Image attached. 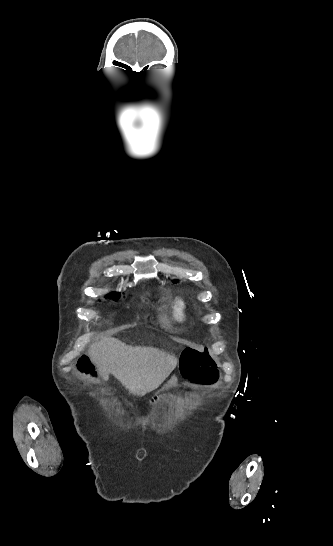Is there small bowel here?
Segmentation results:
<instances>
[{
  "instance_id": "obj_1",
  "label": "small bowel",
  "mask_w": 333,
  "mask_h": 546,
  "mask_svg": "<svg viewBox=\"0 0 333 546\" xmlns=\"http://www.w3.org/2000/svg\"><path fill=\"white\" fill-rule=\"evenodd\" d=\"M168 386L169 387H175L176 386V381L175 380H169L168 381Z\"/></svg>"
}]
</instances>
